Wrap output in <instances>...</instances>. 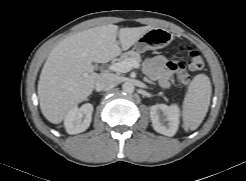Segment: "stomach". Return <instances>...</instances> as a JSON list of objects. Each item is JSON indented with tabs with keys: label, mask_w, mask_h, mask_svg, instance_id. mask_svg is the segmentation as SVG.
I'll use <instances>...</instances> for the list:
<instances>
[{
	"label": "stomach",
	"mask_w": 246,
	"mask_h": 181,
	"mask_svg": "<svg viewBox=\"0 0 246 181\" xmlns=\"http://www.w3.org/2000/svg\"><path fill=\"white\" fill-rule=\"evenodd\" d=\"M171 40L172 35L168 30L152 28L134 44V50L141 53L150 49H159L168 45Z\"/></svg>",
	"instance_id": "obj_1"
}]
</instances>
